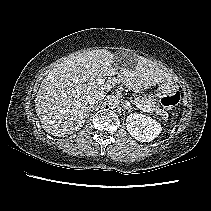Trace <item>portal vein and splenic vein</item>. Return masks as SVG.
Returning <instances> with one entry per match:
<instances>
[{
	"label": "portal vein and splenic vein",
	"mask_w": 211,
	"mask_h": 211,
	"mask_svg": "<svg viewBox=\"0 0 211 211\" xmlns=\"http://www.w3.org/2000/svg\"><path fill=\"white\" fill-rule=\"evenodd\" d=\"M104 82H105V80L104 79H99L98 80V83L99 84H104ZM135 105L138 107V108H140L141 110H143V111H147V112H150V109H146L142 104H140L138 101H135Z\"/></svg>",
	"instance_id": "18ae733b"
}]
</instances>
